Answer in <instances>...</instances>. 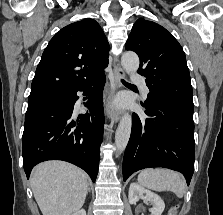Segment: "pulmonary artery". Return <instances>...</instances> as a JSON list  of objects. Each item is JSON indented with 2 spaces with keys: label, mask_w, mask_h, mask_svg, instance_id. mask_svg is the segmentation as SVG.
Returning <instances> with one entry per match:
<instances>
[{
  "label": "pulmonary artery",
  "mask_w": 223,
  "mask_h": 215,
  "mask_svg": "<svg viewBox=\"0 0 223 215\" xmlns=\"http://www.w3.org/2000/svg\"><path fill=\"white\" fill-rule=\"evenodd\" d=\"M132 81L134 82V86L140 87L139 93L141 94L142 98H149L150 97V90L146 86V78L142 77L141 73H132L131 74Z\"/></svg>",
  "instance_id": "1"
}]
</instances>
